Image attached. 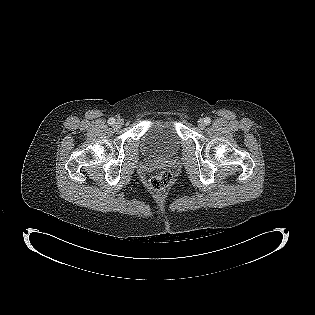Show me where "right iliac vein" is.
Masks as SVG:
<instances>
[{
  "label": "right iliac vein",
  "instance_id": "right-iliac-vein-1",
  "mask_svg": "<svg viewBox=\"0 0 315 315\" xmlns=\"http://www.w3.org/2000/svg\"><path fill=\"white\" fill-rule=\"evenodd\" d=\"M123 125V121L118 119L114 125L115 128L119 129Z\"/></svg>",
  "mask_w": 315,
  "mask_h": 315
}]
</instances>
